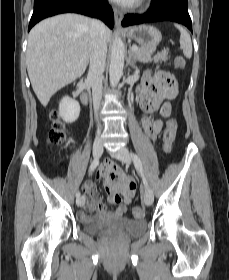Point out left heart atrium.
Segmentation results:
<instances>
[{
    "instance_id": "39dd6f15",
    "label": "left heart atrium",
    "mask_w": 229,
    "mask_h": 280,
    "mask_svg": "<svg viewBox=\"0 0 229 280\" xmlns=\"http://www.w3.org/2000/svg\"><path fill=\"white\" fill-rule=\"evenodd\" d=\"M113 1L118 2L122 5L131 6L136 4L139 0H113Z\"/></svg>"
}]
</instances>
